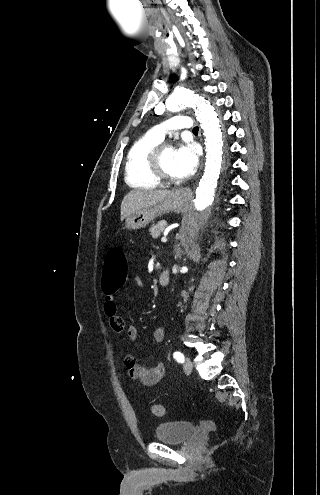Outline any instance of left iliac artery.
I'll return each mask as SVG.
<instances>
[{"label": "left iliac artery", "mask_w": 320, "mask_h": 495, "mask_svg": "<svg viewBox=\"0 0 320 495\" xmlns=\"http://www.w3.org/2000/svg\"><path fill=\"white\" fill-rule=\"evenodd\" d=\"M173 357L179 362L183 363L184 362V355L180 351H175L173 353Z\"/></svg>", "instance_id": "1"}]
</instances>
